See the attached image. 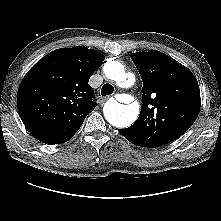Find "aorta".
Instances as JSON below:
<instances>
[{"instance_id":"1","label":"aorta","mask_w":221,"mask_h":221,"mask_svg":"<svg viewBox=\"0 0 221 221\" xmlns=\"http://www.w3.org/2000/svg\"><path fill=\"white\" fill-rule=\"evenodd\" d=\"M104 74L107 78L124 82L127 79L124 66L118 61H108L103 68ZM106 120L113 126L124 128L130 126L138 117L139 105L131 103L123 105L114 99H109L103 108Z\"/></svg>"}]
</instances>
